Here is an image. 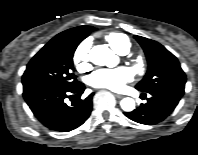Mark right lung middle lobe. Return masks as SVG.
Returning <instances> with one entry per match:
<instances>
[{"label": "right lung middle lobe", "instance_id": "1", "mask_svg": "<svg viewBox=\"0 0 198 155\" xmlns=\"http://www.w3.org/2000/svg\"><path fill=\"white\" fill-rule=\"evenodd\" d=\"M88 35L89 33H83L61 38L54 37L27 65L22 76L23 85L51 83L70 87L77 84L78 81L72 73L73 55L78 44Z\"/></svg>", "mask_w": 198, "mask_h": 155}]
</instances>
